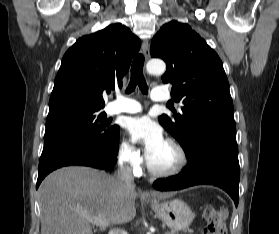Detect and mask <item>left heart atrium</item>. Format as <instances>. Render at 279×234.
Listing matches in <instances>:
<instances>
[{
	"label": "left heart atrium",
	"mask_w": 279,
	"mask_h": 234,
	"mask_svg": "<svg viewBox=\"0 0 279 234\" xmlns=\"http://www.w3.org/2000/svg\"><path fill=\"white\" fill-rule=\"evenodd\" d=\"M126 128L131 138L143 145L147 158L165 142L162 128L149 117L132 118L127 122Z\"/></svg>",
	"instance_id": "1"
}]
</instances>
